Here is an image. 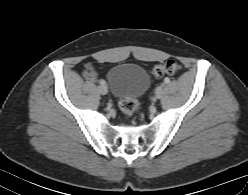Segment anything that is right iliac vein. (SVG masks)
Masks as SVG:
<instances>
[{
	"label": "right iliac vein",
	"instance_id": "1",
	"mask_svg": "<svg viewBox=\"0 0 248 195\" xmlns=\"http://www.w3.org/2000/svg\"><path fill=\"white\" fill-rule=\"evenodd\" d=\"M98 91H99L100 94L105 95V94H107L108 89H107V87L105 85H101V86L98 87Z\"/></svg>",
	"mask_w": 248,
	"mask_h": 195
}]
</instances>
